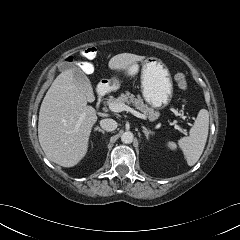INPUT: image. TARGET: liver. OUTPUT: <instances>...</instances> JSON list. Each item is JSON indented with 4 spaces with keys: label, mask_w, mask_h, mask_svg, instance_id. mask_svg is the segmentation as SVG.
<instances>
[{
    "label": "liver",
    "mask_w": 240,
    "mask_h": 240,
    "mask_svg": "<svg viewBox=\"0 0 240 240\" xmlns=\"http://www.w3.org/2000/svg\"><path fill=\"white\" fill-rule=\"evenodd\" d=\"M144 58L122 53L113 56L108 66L112 70H126ZM87 101L76 86L74 68L62 71L48 89L39 111L38 138L50 161L73 167L86 155L91 129L97 121V112Z\"/></svg>",
    "instance_id": "6515ba94"
}]
</instances>
